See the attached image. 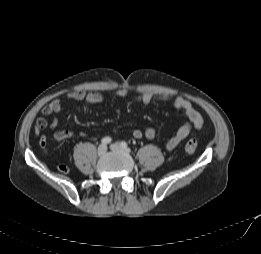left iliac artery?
I'll return each mask as SVG.
<instances>
[{
    "mask_svg": "<svg viewBox=\"0 0 261 254\" xmlns=\"http://www.w3.org/2000/svg\"><path fill=\"white\" fill-rule=\"evenodd\" d=\"M123 148H127V143L126 142H121V144H120Z\"/></svg>",
    "mask_w": 261,
    "mask_h": 254,
    "instance_id": "44dca946",
    "label": "left iliac artery"
}]
</instances>
